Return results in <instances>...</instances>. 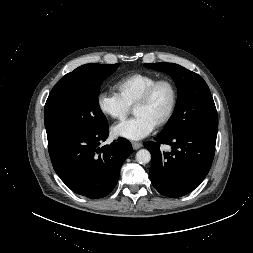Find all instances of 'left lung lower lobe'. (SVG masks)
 Masks as SVG:
<instances>
[{"mask_svg": "<svg viewBox=\"0 0 253 253\" xmlns=\"http://www.w3.org/2000/svg\"><path fill=\"white\" fill-rule=\"evenodd\" d=\"M217 134L188 131L173 137L158 135L144 144L152 155L150 179L161 194L177 198L184 196L204 180L214 154ZM161 144L172 146L171 152L162 153Z\"/></svg>", "mask_w": 253, "mask_h": 253, "instance_id": "0a47b994", "label": "left lung lower lobe"}]
</instances>
